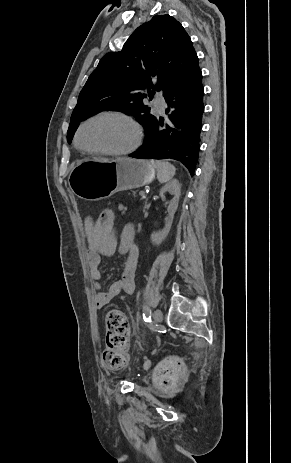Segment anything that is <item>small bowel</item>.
<instances>
[{"mask_svg": "<svg viewBox=\"0 0 291 463\" xmlns=\"http://www.w3.org/2000/svg\"><path fill=\"white\" fill-rule=\"evenodd\" d=\"M115 218V215H114ZM88 240L87 262L91 280L95 287V307L102 309L121 292L132 294L135 290V269L139 256V248L135 241L133 225L123 227L119 241L117 240L115 225L107 227V231H98V218H88L84 223ZM118 251L124 256L121 278L112 282L106 289L102 285L100 271L101 257L112 256Z\"/></svg>", "mask_w": 291, "mask_h": 463, "instance_id": "obj_1", "label": "small bowel"}]
</instances>
